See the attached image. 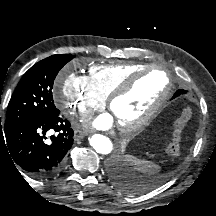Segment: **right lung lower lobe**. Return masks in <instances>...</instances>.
I'll return each mask as SVG.
<instances>
[{
  "instance_id": "1",
  "label": "right lung lower lobe",
  "mask_w": 216,
  "mask_h": 216,
  "mask_svg": "<svg viewBox=\"0 0 216 216\" xmlns=\"http://www.w3.org/2000/svg\"><path fill=\"white\" fill-rule=\"evenodd\" d=\"M70 122L60 115L37 117L0 127V148L36 178H50L60 173L65 155L73 144ZM57 135L47 139L46 133Z\"/></svg>"
}]
</instances>
